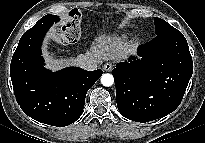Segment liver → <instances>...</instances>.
<instances>
[{"mask_svg":"<svg viewBox=\"0 0 205 143\" xmlns=\"http://www.w3.org/2000/svg\"><path fill=\"white\" fill-rule=\"evenodd\" d=\"M129 53H131L130 47L124 44L120 38L115 35L100 33L97 34L85 55L94 59L98 64H102L105 60L118 62L126 58ZM78 57L65 58L52 64L48 63L46 68L57 71L65 66H80L77 61Z\"/></svg>","mask_w":205,"mask_h":143,"instance_id":"liver-1","label":"liver"}]
</instances>
